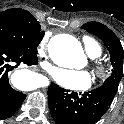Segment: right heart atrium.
I'll list each match as a JSON object with an SVG mask.
<instances>
[{
    "mask_svg": "<svg viewBox=\"0 0 124 124\" xmlns=\"http://www.w3.org/2000/svg\"><path fill=\"white\" fill-rule=\"evenodd\" d=\"M48 40H49V35H45L39 45V51L41 54H44L45 51L47 50V44H48Z\"/></svg>",
    "mask_w": 124,
    "mask_h": 124,
    "instance_id": "1",
    "label": "right heart atrium"
}]
</instances>
